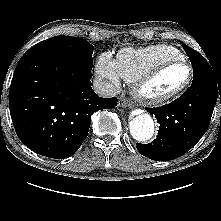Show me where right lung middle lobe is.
<instances>
[{"instance_id":"right-lung-middle-lobe-1","label":"right lung middle lobe","mask_w":221,"mask_h":221,"mask_svg":"<svg viewBox=\"0 0 221 221\" xmlns=\"http://www.w3.org/2000/svg\"><path fill=\"white\" fill-rule=\"evenodd\" d=\"M30 49L43 51L82 69H92L94 47L82 38L54 36L37 43Z\"/></svg>"}]
</instances>
